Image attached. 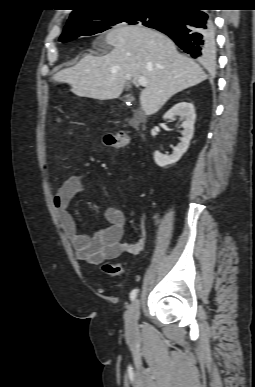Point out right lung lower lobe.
I'll return each mask as SVG.
<instances>
[{
	"instance_id": "obj_1",
	"label": "right lung lower lobe",
	"mask_w": 255,
	"mask_h": 387,
	"mask_svg": "<svg viewBox=\"0 0 255 387\" xmlns=\"http://www.w3.org/2000/svg\"><path fill=\"white\" fill-rule=\"evenodd\" d=\"M202 3L170 8L163 25L155 29L168 35L184 52L203 64L215 62L216 44L212 15Z\"/></svg>"
}]
</instances>
